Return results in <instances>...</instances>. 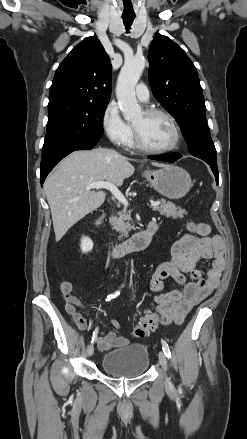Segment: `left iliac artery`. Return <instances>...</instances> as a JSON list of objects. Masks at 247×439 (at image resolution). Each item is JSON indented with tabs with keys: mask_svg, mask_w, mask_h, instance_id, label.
<instances>
[{
	"mask_svg": "<svg viewBox=\"0 0 247 439\" xmlns=\"http://www.w3.org/2000/svg\"><path fill=\"white\" fill-rule=\"evenodd\" d=\"M161 343H162V349L164 351L165 356L167 358H170L171 357V352H170L168 344L164 340H162Z\"/></svg>",
	"mask_w": 247,
	"mask_h": 439,
	"instance_id": "left-iliac-artery-1",
	"label": "left iliac artery"
}]
</instances>
